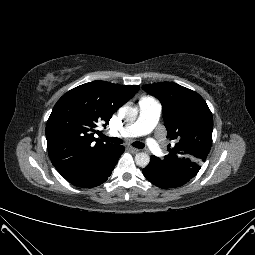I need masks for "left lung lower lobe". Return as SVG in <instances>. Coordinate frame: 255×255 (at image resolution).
<instances>
[{
  "label": "left lung lower lobe",
  "mask_w": 255,
  "mask_h": 255,
  "mask_svg": "<svg viewBox=\"0 0 255 255\" xmlns=\"http://www.w3.org/2000/svg\"><path fill=\"white\" fill-rule=\"evenodd\" d=\"M143 174L148 181L160 188H175L187 183L191 178L175 174L155 163L151 156L149 165L143 169Z\"/></svg>",
  "instance_id": "left-lung-lower-lobe-1"
}]
</instances>
